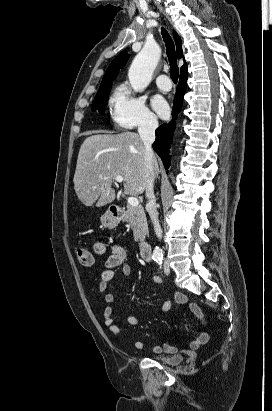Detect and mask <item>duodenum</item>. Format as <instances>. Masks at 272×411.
I'll use <instances>...</instances> for the list:
<instances>
[{"label":"duodenum","mask_w":272,"mask_h":411,"mask_svg":"<svg viewBox=\"0 0 272 411\" xmlns=\"http://www.w3.org/2000/svg\"><path fill=\"white\" fill-rule=\"evenodd\" d=\"M109 212L114 218H119L123 215V213L125 212V209L118 205H111L109 208ZM139 250H140V255L143 258V260L146 262H151L152 248L150 247V245L147 243L146 240L140 241Z\"/></svg>","instance_id":"obj_1"}]
</instances>
